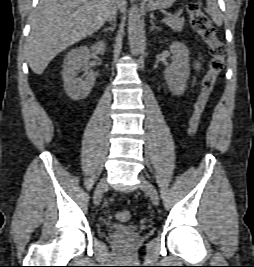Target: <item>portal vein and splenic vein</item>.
<instances>
[{"label": "portal vein and splenic vein", "instance_id": "obj_1", "mask_svg": "<svg viewBox=\"0 0 254 267\" xmlns=\"http://www.w3.org/2000/svg\"><path fill=\"white\" fill-rule=\"evenodd\" d=\"M173 16L171 14L165 16L163 19H162V22H166L168 21L169 19H171Z\"/></svg>", "mask_w": 254, "mask_h": 267}]
</instances>
